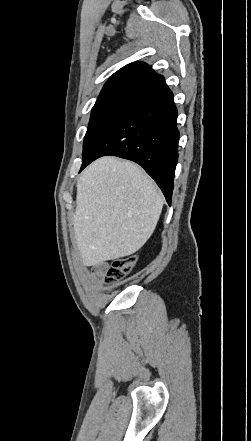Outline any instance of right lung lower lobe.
I'll list each match as a JSON object with an SVG mask.
<instances>
[{"instance_id": "obj_1", "label": "right lung lower lobe", "mask_w": 251, "mask_h": 441, "mask_svg": "<svg viewBox=\"0 0 251 441\" xmlns=\"http://www.w3.org/2000/svg\"><path fill=\"white\" fill-rule=\"evenodd\" d=\"M176 119L173 94L163 81L135 101L109 127L82 163L81 170L105 155L134 161L156 181L170 205L178 160Z\"/></svg>"}]
</instances>
